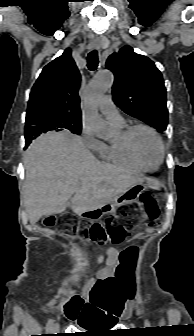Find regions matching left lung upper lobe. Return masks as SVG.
Masks as SVG:
<instances>
[{"label": "left lung upper lobe", "mask_w": 194, "mask_h": 336, "mask_svg": "<svg viewBox=\"0 0 194 336\" xmlns=\"http://www.w3.org/2000/svg\"><path fill=\"white\" fill-rule=\"evenodd\" d=\"M106 67L115 76L112 93L116 105L159 132L166 130V89L153 61L125 46L108 58Z\"/></svg>", "instance_id": "1"}]
</instances>
